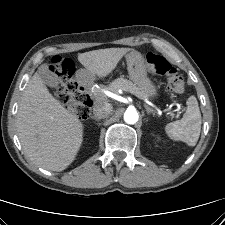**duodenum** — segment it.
Returning a JSON list of instances; mask_svg holds the SVG:
<instances>
[{
    "mask_svg": "<svg viewBox=\"0 0 225 225\" xmlns=\"http://www.w3.org/2000/svg\"><path fill=\"white\" fill-rule=\"evenodd\" d=\"M78 84H79V87H80V89L82 90V92L85 94V95H87L88 97H89V95L87 94V83H86V80L85 79H83V78H80L79 80H78ZM90 98V97H89ZM91 99V98H90ZM92 101V100H91Z\"/></svg>",
    "mask_w": 225,
    "mask_h": 225,
    "instance_id": "obj_1",
    "label": "duodenum"
}]
</instances>
